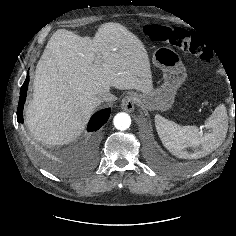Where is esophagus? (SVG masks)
I'll return each instance as SVG.
<instances>
[{
    "instance_id": "1",
    "label": "esophagus",
    "mask_w": 236,
    "mask_h": 236,
    "mask_svg": "<svg viewBox=\"0 0 236 236\" xmlns=\"http://www.w3.org/2000/svg\"><path fill=\"white\" fill-rule=\"evenodd\" d=\"M135 104H136V95L130 93L123 98L121 102V108L124 111L132 112L135 108Z\"/></svg>"
}]
</instances>
